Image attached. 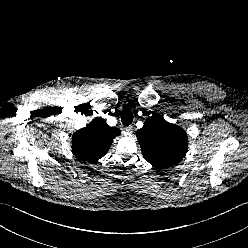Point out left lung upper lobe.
Wrapping results in <instances>:
<instances>
[{
  "label": "left lung upper lobe",
  "instance_id": "left-lung-upper-lobe-1",
  "mask_svg": "<svg viewBox=\"0 0 248 248\" xmlns=\"http://www.w3.org/2000/svg\"><path fill=\"white\" fill-rule=\"evenodd\" d=\"M143 157L157 169H164L180 162L188 148L186 132L167 122L161 115L146 119L136 132Z\"/></svg>",
  "mask_w": 248,
  "mask_h": 248
}]
</instances>
